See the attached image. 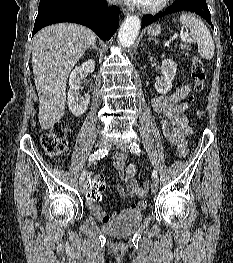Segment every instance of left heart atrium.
Wrapping results in <instances>:
<instances>
[{"label":"left heart atrium","instance_id":"obj_1","mask_svg":"<svg viewBox=\"0 0 233 263\" xmlns=\"http://www.w3.org/2000/svg\"><path fill=\"white\" fill-rule=\"evenodd\" d=\"M129 3L141 4L142 0H126Z\"/></svg>","mask_w":233,"mask_h":263}]
</instances>
